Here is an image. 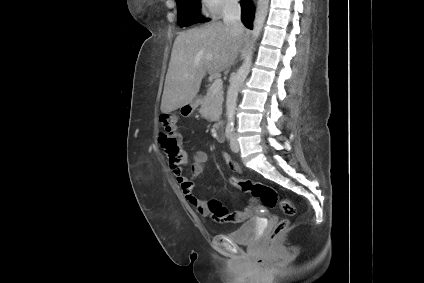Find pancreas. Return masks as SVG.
<instances>
[{"label": "pancreas", "instance_id": "pancreas-1", "mask_svg": "<svg viewBox=\"0 0 424 283\" xmlns=\"http://www.w3.org/2000/svg\"><path fill=\"white\" fill-rule=\"evenodd\" d=\"M223 92L212 93L208 88L206 95L200 101L199 113L207 120L218 121L222 113Z\"/></svg>", "mask_w": 424, "mask_h": 283}]
</instances>
